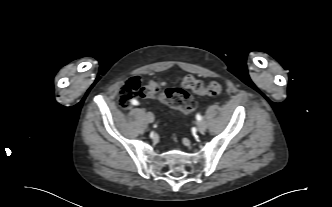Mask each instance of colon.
I'll return each instance as SVG.
<instances>
[{"instance_id": "colon-1", "label": "colon", "mask_w": 332, "mask_h": 207, "mask_svg": "<svg viewBox=\"0 0 332 207\" xmlns=\"http://www.w3.org/2000/svg\"><path fill=\"white\" fill-rule=\"evenodd\" d=\"M182 87H171L161 90L164 81H150L142 85L140 77L128 79L121 87L118 96L119 105L124 108H130L132 101L138 97L156 99L161 103L181 111L185 115L190 114L195 108V100L189 91L196 95H219L222 87L217 82H211L204 85L200 80L191 75L183 76L179 79Z\"/></svg>"}]
</instances>
